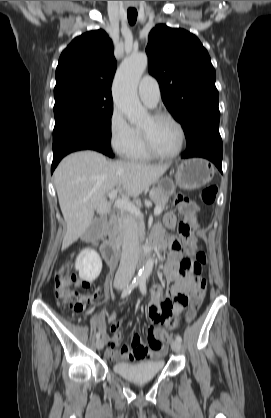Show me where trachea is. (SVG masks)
Returning a JSON list of instances; mask_svg holds the SVG:
<instances>
[{"mask_svg":"<svg viewBox=\"0 0 271 418\" xmlns=\"http://www.w3.org/2000/svg\"><path fill=\"white\" fill-rule=\"evenodd\" d=\"M128 21L131 25H134L137 20V10L136 9H128L127 11Z\"/></svg>","mask_w":271,"mask_h":418,"instance_id":"3493384b","label":"trachea"}]
</instances>
